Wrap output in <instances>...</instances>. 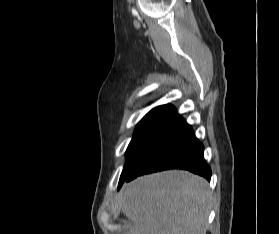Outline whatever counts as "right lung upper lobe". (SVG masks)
I'll return each instance as SVG.
<instances>
[{
	"instance_id": "1",
	"label": "right lung upper lobe",
	"mask_w": 279,
	"mask_h": 234,
	"mask_svg": "<svg viewBox=\"0 0 279 234\" xmlns=\"http://www.w3.org/2000/svg\"><path fill=\"white\" fill-rule=\"evenodd\" d=\"M160 108H173V109H174V107L171 106V105H162V106H158V107H156V108H154V109H160ZM154 109H153V110H154Z\"/></svg>"
}]
</instances>
